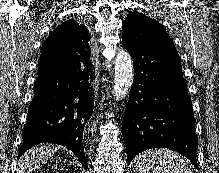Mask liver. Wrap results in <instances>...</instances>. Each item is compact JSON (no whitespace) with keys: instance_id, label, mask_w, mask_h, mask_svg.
Wrapping results in <instances>:
<instances>
[{"instance_id":"obj_1","label":"liver","mask_w":219,"mask_h":173,"mask_svg":"<svg viewBox=\"0 0 219 173\" xmlns=\"http://www.w3.org/2000/svg\"><path fill=\"white\" fill-rule=\"evenodd\" d=\"M58 150L55 145H40L26 152L20 160V169L17 173H30L44 165Z\"/></svg>"}]
</instances>
